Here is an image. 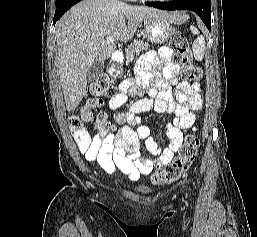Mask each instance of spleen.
Returning <instances> with one entry per match:
<instances>
[{
	"mask_svg": "<svg viewBox=\"0 0 257 237\" xmlns=\"http://www.w3.org/2000/svg\"><path fill=\"white\" fill-rule=\"evenodd\" d=\"M192 33L194 35H198L192 45V50L194 57L197 61H202L204 58V51H205V39L203 35H199V31L194 26L190 27Z\"/></svg>",
	"mask_w": 257,
	"mask_h": 237,
	"instance_id": "spleen-1",
	"label": "spleen"
}]
</instances>
